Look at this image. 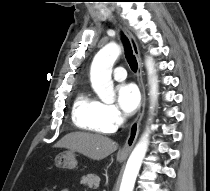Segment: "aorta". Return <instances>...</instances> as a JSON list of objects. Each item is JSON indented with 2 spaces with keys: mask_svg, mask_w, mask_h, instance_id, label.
<instances>
[{
  "mask_svg": "<svg viewBox=\"0 0 210 191\" xmlns=\"http://www.w3.org/2000/svg\"><path fill=\"white\" fill-rule=\"evenodd\" d=\"M120 54L121 47L116 43H109L95 55L91 65L90 80L92 87L104 103L114 101L115 92L111 73ZM146 68L150 85V110L153 111L158 96V79L153 59L150 57L146 59ZM149 133L150 131L147 129L133 149L127 161L119 191H133L136 177L147 152Z\"/></svg>",
  "mask_w": 210,
  "mask_h": 191,
  "instance_id": "1",
  "label": "aorta"
}]
</instances>
